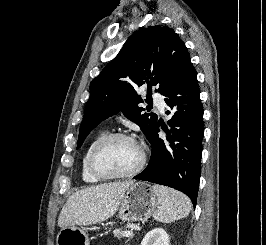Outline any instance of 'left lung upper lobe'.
Segmentation results:
<instances>
[{
	"label": "left lung upper lobe",
	"instance_id": "obj_1",
	"mask_svg": "<svg viewBox=\"0 0 266 245\" xmlns=\"http://www.w3.org/2000/svg\"><path fill=\"white\" fill-rule=\"evenodd\" d=\"M188 57L184 42L170 27L149 26L135 32L90 84L77 149L101 121L119 111L138 124L148 139L157 116L143 113L145 109L138 106L143 100L136 90L147 85L151 96L156 86L163 94Z\"/></svg>",
	"mask_w": 266,
	"mask_h": 245
}]
</instances>
